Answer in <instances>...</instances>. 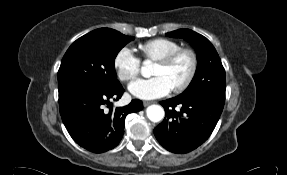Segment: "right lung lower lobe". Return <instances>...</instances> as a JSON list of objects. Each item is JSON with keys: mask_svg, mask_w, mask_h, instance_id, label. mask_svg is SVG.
I'll list each match as a JSON object with an SVG mask.
<instances>
[{"mask_svg": "<svg viewBox=\"0 0 287 175\" xmlns=\"http://www.w3.org/2000/svg\"><path fill=\"white\" fill-rule=\"evenodd\" d=\"M123 92L121 85L109 91L72 87L59 92L60 115L77 144L94 153H102L118 145L124 134L127 114L143 108V103L134 99L127 106L104 111V106L111 100L117 101Z\"/></svg>", "mask_w": 287, "mask_h": 175, "instance_id": "98d812e1", "label": "right lung lower lobe"}]
</instances>
